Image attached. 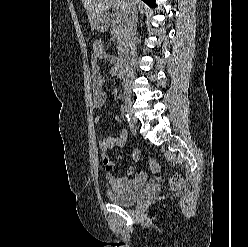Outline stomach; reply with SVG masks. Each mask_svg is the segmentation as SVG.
I'll return each instance as SVG.
<instances>
[{
    "label": "stomach",
    "instance_id": "stomach-1",
    "mask_svg": "<svg viewBox=\"0 0 248 247\" xmlns=\"http://www.w3.org/2000/svg\"><path fill=\"white\" fill-rule=\"evenodd\" d=\"M108 27H109V22L105 16L101 18L96 25V29L99 32H105L108 29Z\"/></svg>",
    "mask_w": 248,
    "mask_h": 247
}]
</instances>
